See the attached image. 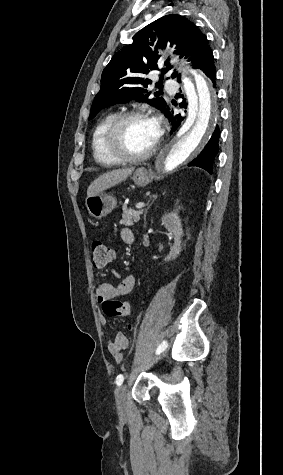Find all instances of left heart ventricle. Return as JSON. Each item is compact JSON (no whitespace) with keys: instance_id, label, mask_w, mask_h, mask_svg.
<instances>
[{"instance_id":"obj_1","label":"left heart ventricle","mask_w":283,"mask_h":475,"mask_svg":"<svg viewBox=\"0 0 283 475\" xmlns=\"http://www.w3.org/2000/svg\"><path fill=\"white\" fill-rule=\"evenodd\" d=\"M157 140L153 118L140 117L129 120L122 127L119 140L110 146V157H138L148 152Z\"/></svg>"}]
</instances>
